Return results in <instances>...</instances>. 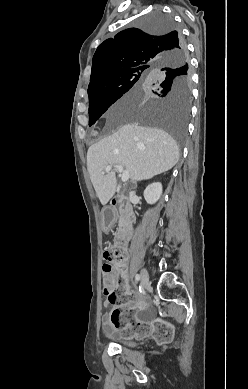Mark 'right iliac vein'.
Wrapping results in <instances>:
<instances>
[{"mask_svg": "<svg viewBox=\"0 0 248 389\" xmlns=\"http://www.w3.org/2000/svg\"><path fill=\"white\" fill-rule=\"evenodd\" d=\"M140 277H141V284H142V286L147 285L148 281H149V275H148L147 270L142 269L141 273H140Z\"/></svg>", "mask_w": 248, "mask_h": 389, "instance_id": "63e3f726", "label": "right iliac vein"}]
</instances>
